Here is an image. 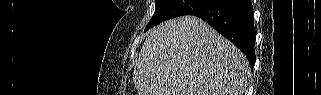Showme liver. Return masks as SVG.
Masks as SVG:
<instances>
[{
  "label": "liver",
  "instance_id": "liver-1",
  "mask_svg": "<svg viewBox=\"0 0 321 95\" xmlns=\"http://www.w3.org/2000/svg\"><path fill=\"white\" fill-rule=\"evenodd\" d=\"M249 76L245 55L190 15L151 29L133 71L138 95H243Z\"/></svg>",
  "mask_w": 321,
  "mask_h": 95
}]
</instances>
